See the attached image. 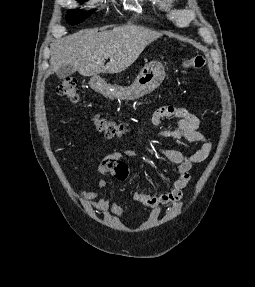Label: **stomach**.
Instances as JSON below:
<instances>
[{"instance_id": "0dacf381", "label": "stomach", "mask_w": 255, "mask_h": 287, "mask_svg": "<svg viewBox=\"0 0 255 287\" xmlns=\"http://www.w3.org/2000/svg\"><path fill=\"white\" fill-rule=\"evenodd\" d=\"M165 78L164 70H154V72H141L137 76L132 86H117V84H107L99 76H93L90 80V86L92 90L102 94L105 98L110 100H137V98H143L146 94L153 92L155 88L160 86Z\"/></svg>"}]
</instances>
